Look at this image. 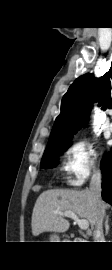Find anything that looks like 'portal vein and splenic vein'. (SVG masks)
<instances>
[{
	"instance_id": "portal-vein-and-splenic-vein-1",
	"label": "portal vein and splenic vein",
	"mask_w": 112,
	"mask_h": 270,
	"mask_svg": "<svg viewBox=\"0 0 112 270\" xmlns=\"http://www.w3.org/2000/svg\"><path fill=\"white\" fill-rule=\"evenodd\" d=\"M63 215L70 217L74 221H76L80 229L87 230L89 228V222L86 219H80L74 212L65 211Z\"/></svg>"
}]
</instances>
